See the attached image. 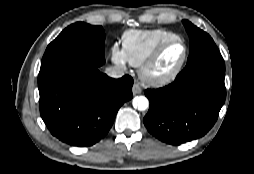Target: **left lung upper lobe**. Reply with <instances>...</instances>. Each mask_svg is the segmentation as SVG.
Segmentation results:
<instances>
[{
  "label": "left lung upper lobe",
  "mask_w": 254,
  "mask_h": 174,
  "mask_svg": "<svg viewBox=\"0 0 254 174\" xmlns=\"http://www.w3.org/2000/svg\"><path fill=\"white\" fill-rule=\"evenodd\" d=\"M182 23L190 39V53L187 65L181 72L188 73L203 67L225 69L224 60L213 39L188 20Z\"/></svg>",
  "instance_id": "5c2ea615"
}]
</instances>
